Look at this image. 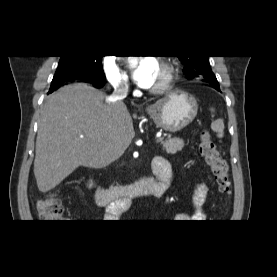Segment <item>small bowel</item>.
Masks as SVG:
<instances>
[{
    "mask_svg": "<svg viewBox=\"0 0 277 277\" xmlns=\"http://www.w3.org/2000/svg\"><path fill=\"white\" fill-rule=\"evenodd\" d=\"M155 158H160V157H155ZM152 169H153V172L156 175V177H159L160 169H159L158 165L154 162V159L152 162ZM171 177H172V175L170 174V179H169L168 183H164L162 185V193H161L162 196L165 194V192L169 188V185L171 182ZM207 192H208V188L205 184H199L197 186V188L193 194V197H192V205L195 208V213L193 215L194 218H203L204 217V213L202 211V206L205 202ZM179 218L186 219V218H188V215L183 213V214L179 215Z\"/></svg>",
    "mask_w": 277,
    "mask_h": 277,
    "instance_id": "small-bowel-1",
    "label": "small bowel"
}]
</instances>
